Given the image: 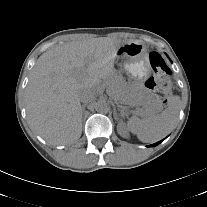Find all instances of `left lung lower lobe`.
Returning a JSON list of instances; mask_svg holds the SVG:
<instances>
[{"mask_svg": "<svg viewBox=\"0 0 207 207\" xmlns=\"http://www.w3.org/2000/svg\"><path fill=\"white\" fill-rule=\"evenodd\" d=\"M164 140V139H163ZM163 140H161V141H159V142H157V143H155V144H152V145H150L151 147H154V146H157L158 144H160Z\"/></svg>", "mask_w": 207, "mask_h": 207, "instance_id": "left-lung-lower-lobe-1", "label": "left lung lower lobe"}]
</instances>
